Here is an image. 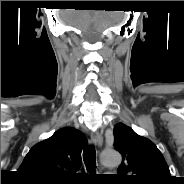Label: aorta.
<instances>
[{
    "label": "aorta",
    "instance_id": "1",
    "mask_svg": "<svg viewBox=\"0 0 184 184\" xmlns=\"http://www.w3.org/2000/svg\"><path fill=\"white\" fill-rule=\"evenodd\" d=\"M101 162L108 167H115L121 163V155L116 150H104L101 154Z\"/></svg>",
    "mask_w": 184,
    "mask_h": 184
}]
</instances>
